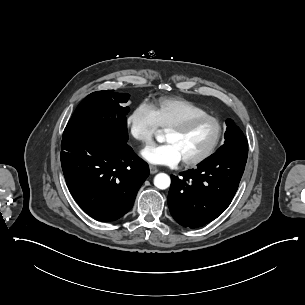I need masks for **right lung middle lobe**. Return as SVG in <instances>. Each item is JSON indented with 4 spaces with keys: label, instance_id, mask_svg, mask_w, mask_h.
I'll return each instance as SVG.
<instances>
[{
    "label": "right lung middle lobe",
    "instance_id": "1",
    "mask_svg": "<svg viewBox=\"0 0 305 305\" xmlns=\"http://www.w3.org/2000/svg\"><path fill=\"white\" fill-rule=\"evenodd\" d=\"M129 97V94L113 90L91 93L78 105L64 130L62 141L88 138L126 143L129 107H122L120 103L127 102Z\"/></svg>",
    "mask_w": 305,
    "mask_h": 305
}]
</instances>
